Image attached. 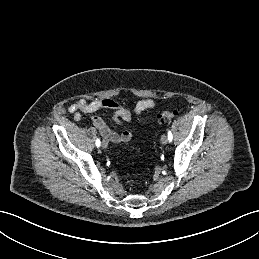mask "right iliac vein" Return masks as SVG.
Wrapping results in <instances>:
<instances>
[{
    "instance_id": "1",
    "label": "right iliac vein",
    "mask_w": 259,
    "mask_h": 259,
    "mask_svg": "<svg viewBox=\"0 0 259 259\" xmlns=\"http://www.w3.org/2000/svg\"><path fill=\"white\" fill-rule=\"evenodd\" d=\"M101 147L103 149H106L108 147V142L106 140H103L102 143H101Z\"/></svg>"
}]
</instances>
